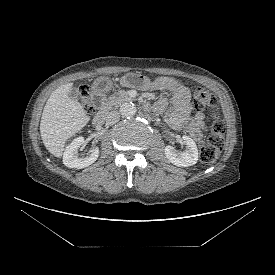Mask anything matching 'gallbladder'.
<instances>
[{
    "mask_svg": "<svg viewBox=\"0 0 275 275\" xmlns=\"http://www.w3.org/2000/svg\"><path fill=\"white\" fill-rule=\"evenodd\" d=\"M78 95H79V90L76 87H73L69 92V96L72 98H76Z\"/></svg>",
    "mask_w": 275,
    "mask_h": 275,
    "instance_id": "gallbladder-1",
    "label": "gallbladder"
}]
</instances>
